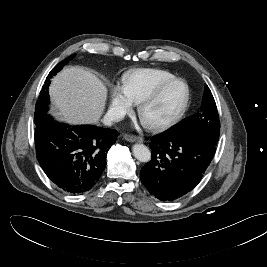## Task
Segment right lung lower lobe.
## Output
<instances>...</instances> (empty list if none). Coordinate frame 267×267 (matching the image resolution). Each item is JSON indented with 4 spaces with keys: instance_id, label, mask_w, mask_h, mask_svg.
Listing matches in <instances>:
<instances>
[{
    "instance_id": "right-lung-lower-lobe-1",
    "label": "right lung lower lobe",
    "mask_w": 267,
    "mask_h": 267,
    "mask_svg": "<svg viewBox=\"0 0 267 267\" xmlns=\"http://www.w3.org/2000/svg\"><path fill=\"white\" fill-rule=\"evenodd\" d=\"M35 124L37 159L49 179L70 194L94 187L105 169L106 155L117 131L92 125L71 127L48 114Z\"/></svg>"
}]
</instances>
